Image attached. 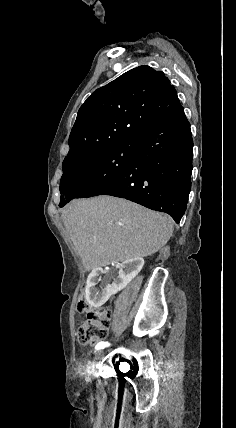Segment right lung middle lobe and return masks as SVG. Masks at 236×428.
I'll use <instances>...</instances> for the list:
<instances>
[{"mask_svg": "<svg viewBox=\"0 0 236 428\" xmlns=\"http://www.w3.org/2000/svg\"><path fill=\"white\" fill-rule=\"evenodd\" d=\"M136 147V139L122 141L63 168L59 207L74 198L91 197L107 186L134 159Z\"/></svg>", "mask_w": 236, "mask_h": 428, "instance_id": "1", "label": "right lung middle lobe"}]
</instances>
